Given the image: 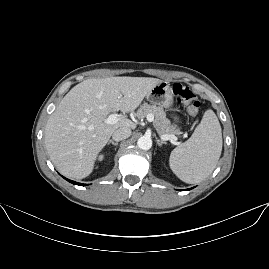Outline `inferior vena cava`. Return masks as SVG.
<instances>
[{"label": "inferior vena cava", "mask_w": 269, "mask_h": 269, "mask_svg": "<svg viewBox=\"0 0 269 269\" xmlns=\"http://www.w3.org/2000/svg\"><path fill=\"white\" fill-rule=\"evenodd\" d=\"M130 135H131L130 129L120 128L113 133L112 138L114 141L118 142V141L128 139Z\"/></svg>", "instance_id": "1"}]
</instances>
